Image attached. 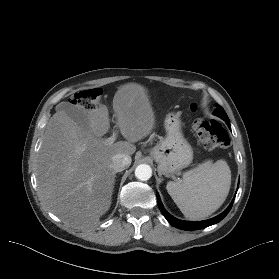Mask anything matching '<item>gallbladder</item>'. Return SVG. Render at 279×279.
I'll return each instance as SVG.
<instances>
[{
    "label": "gallbladder",
    "instance_id": "obj_1",
    "mask_svg": "<svg viewBox=\"0 0 279 279\" xmlns=\"http://www.w3.org/2000/svg\"><path fill=\"white\" fill-rule=\"evenodd\" d=\"M59 108L64 109L66 114L79 126L83 128L88 127V114L84 108L66 102H62Z\"/></svg>",
    "mask_w": 279,
    "mask_h": 279
}]
</instances>
